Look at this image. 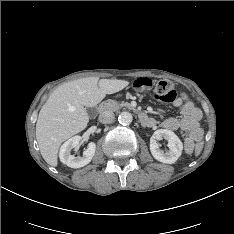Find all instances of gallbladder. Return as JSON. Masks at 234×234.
<instances>
[{
    "mask_svg": "<svg viewBox=\"0 0 234 234\" xmlns=\"http://www.w3.org/2000/svg\"><path fill=\"white\" fill-rule=\"evenodd\" d=\"M95 112H96L95 108H87V113L89 114V116H93Z\"/></svg>",
    "mask_w": 234,
    "mask_h": 234,
    "instance_id": "1",
    "label": "gallbladder"
}]
</instances>
